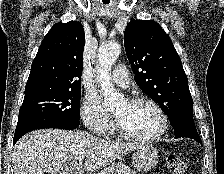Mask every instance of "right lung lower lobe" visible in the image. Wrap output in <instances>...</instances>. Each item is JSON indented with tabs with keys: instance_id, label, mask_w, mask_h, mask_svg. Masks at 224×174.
I'll list each match as a JSON object with an SVG mask.
<instances>
[{
	"instance_id": "right-lung-lower-lobe-1",
	"label": "right lung lower lobe",
	"mask_w": 224,
	"mask_h": 174,
	"mask_svg": "<svg viewBox=\"0 0 224 174\" xmlns=\"http://www.w3.org/2000/svg\"><path fill=\"white\" fill-rule=\"evenodd\" d=\"M80 122H69L64 124H58V123H43L38 121H26L17 124L15 136H14V142L15 144L20 137H22L24 134L37 130V129H43V128H59L64 130H72L79 126Z\"/></svg>"
}]
</instances>
